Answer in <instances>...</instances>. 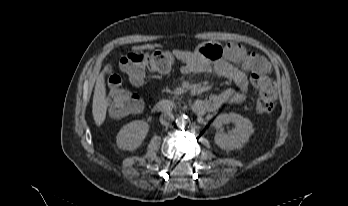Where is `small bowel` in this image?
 Returning a JSON list of instances; mask_svg holds the SVG:
<instances>
[{
	"label": "small bowel",
	"instance_id": "1",
	"mask_svg": "<svg viewBox=\"0 0 348 206\" xmlns=\"http://www.w3.org/2000/svg\"><path fill=\"white\" fill-rule=\"evenodd\" d=\"M182 64L180 71L184 74L205 73L212 69L218 76L233 81L236 88L225 89L210 96V111H215L228 104L243 102L248 95L250 83L245 72L234 64L255 73L270 70L268 61L259 54L249 50L238 42H229L225 46L201 44L195 50H174Z\"/></svg>",
	"mask_w": 348,
	"mask_h": 206
}]
</instances>
